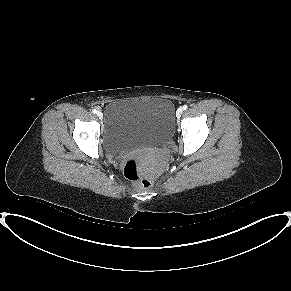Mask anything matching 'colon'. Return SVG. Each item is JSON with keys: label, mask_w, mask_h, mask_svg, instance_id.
I'll return each mask as SVG.
<instances>
[{"label": "colon", "mask_w": 291, "mask_h": 291, "mask_svg": "<svg viewBox=\"0 0 291 291\" xmlns=\"http://www.w3.org/2000/svg\"><path fill=\"white\" fill-rule=\"evenodd\" d=\"M124 173L140 189H149L152 186L153 182L151 177L140 171L139 160L135 156L127 159L124 166Z\"/></svg>", "instance_id": "obj_1"}]
</instances>
